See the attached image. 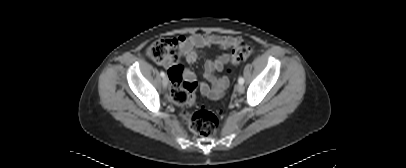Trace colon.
I'll use <instances>...</instances> for the list:
<instances>
[{
    "label": "colon",
    "instance_id": "1",
    "mask_svg": "<svg viewBox=\"0 0 406 168\" xmlns=\"http://www.w3.org/2000/svg\"><path fill=\"white\" fill-rule=\"evenodd\" d=\"M172 52V45L168 40H158L152 43L148 50V56L156 63L164 62ZM251 55V48L246 44H240L231 54L230 64L238 65ZM183 65L172 66L168 73L171 81L170 96L174 103L183 107L182 117L184 122L195 134L201 137L213 136L219 127L217 116L205 107H198L195 103L194 82H182L180 74Z\"/></svg>",
    "mask_w": 406,
    "mask_h": 168
}]
</instances>
